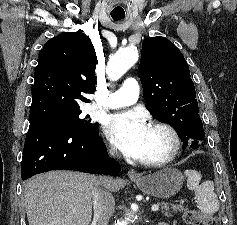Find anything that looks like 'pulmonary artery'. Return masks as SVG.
<instances>
[{
	"label": "pulmonary artery",
	"instance_id": "pulmonary-artery-1",
	"mask_svg": "<svg viewBox=\"0 0 237 225\" xmlns=\"http://www.w3.org/2000/svg\"><path fill=\"white\" fill-rule=\"evenodd\" d=\"M139 84L133 78L124 81L123 86L109 95L104 106L108 109H117L135 103L139 97Z\"/></svg>",
	"mask_w": 237,
	"mask_h": 225
}]
</instances>
